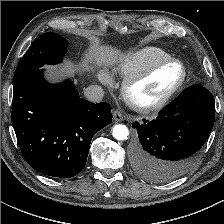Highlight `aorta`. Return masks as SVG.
I'll return each mask as SVG.
<instances>
[{
  "mask_svg": "<svg viewBox=\"0 0 224 224\" xmlns=\"http://www.w3.org/2000/svg\"><path fill=\"white\" fill-rule=\"evenodd\" d=\"M112 135L117 140H127L129 136V130L127 126L123 124H117L112 129Z\"/></svg>",
  "mask_w": 224,
  "mask_h": 224,
  "instance_id": "aorta-1",
  "label": "aorta"
}]
</instances>
